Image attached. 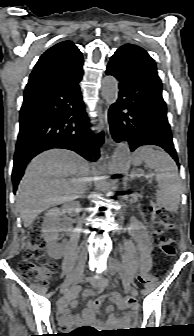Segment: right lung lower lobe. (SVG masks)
<instances>
[{
	"mask_svg": "<svg viewBox=\"0 0 194 336\" xmlns=\"http://www.w3.org/2000/svg\"><path fill=\"white\" fill-rule=\"evenodd\" d=\"M82 75L80 68L51 87L24 95L12 171L14 193L28 162L44 150L65 148L89 161L99 158L103 133L94 140L89 130L79 86Z\"/></svg>",
	"mask_w": 194,
	"mask_h": 336,
	"instance_id": "1",
	"label": "right lung lower lobe"
}]
</instances>
